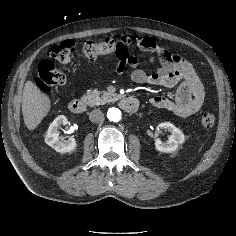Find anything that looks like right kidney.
I'll list each match as a JSON object with an SVG mask.
<instances>
[{
	"mask_svg": "<svg viewBox=\"0 0 236 236\" xmlns=\"http://www.w3.org/2000/svg\"><path fill=\"white\" fill-rule=\"evenodd\" d=\"M67 123V118L64 115H60L54 119L47 130L45 143L52 147L56 152L70 153L75 151L77 147V142L74 138H69L68 140L60 139L58 128Z\"/></svg>",
	"mask_w": 236,
	"mask_h": 236,
	"instance_id": "right-kidney-1",
	"label": "right kidney"
}]
</instances>
